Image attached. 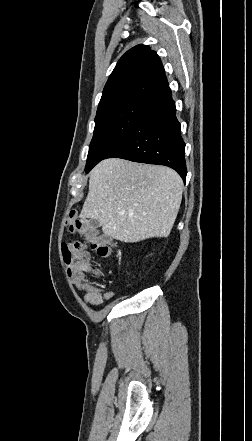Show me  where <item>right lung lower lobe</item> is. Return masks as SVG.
Listing matches in <instances>:
<instances>
[{"instance_id": "1", "label": "right lung lower lobe", "mask_w": 252, "mask_h": 441, "mask_svg": "<svg viewBox=\"0 0 252 441\" xmlns=\"http://www.w3.org/2000/svg\"><path fill=\"white\" fill-rule=\"evenodd\" d=\"M113 157L168 166L176 170L185 182V143L168 85L146 99L135 126L106 156Z\"/></svg>"}]
</instances>
